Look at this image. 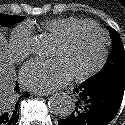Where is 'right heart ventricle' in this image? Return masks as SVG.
Returning <instances> with one entry per match:
<instances>
[{
  "label": "right heart ventricle",
  "mask_w": 125,
  "mask_h": 125,
  "mask_svg": "<svg viewBox=\"0 0 125 125\" xmlns=\"http://www.w3.org/2000/svg\"><path fill=\"white\" fill-rule=\"evenodd\" d=\"M84 21V19L69 16L59 17L45 21L41 24L44 34L57 39L61 36L69 27Z\"/></svg>",
  "instance_id": "obj_1"
}]
</instances>
